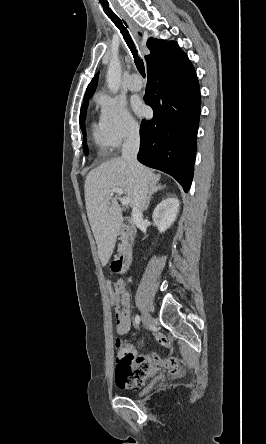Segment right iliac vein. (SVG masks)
I'll return each mask as SVG.
<instances>
[{
  "label": "right iliac vein",
  "instance_id": "obj_1",
  "mask_svg": "<svg viewBox=\"0 0 266 444\" xmlns=\"http://www.w3.org/2000/svg\"><path fill=\"white\" fill-rule=\"evenodd\" d=\"M151 322V317L150 315L144 311L142 314V324L145 328H148Z\"/></svg>",
  "mask_w": 266,
  "mask_h": 444
}]
</instances>
